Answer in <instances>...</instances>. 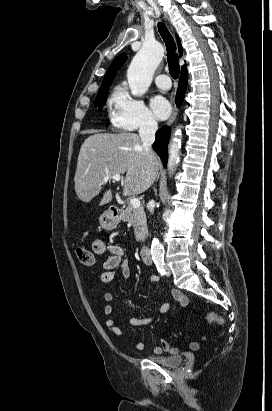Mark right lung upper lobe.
Instances as JSON below:
<instances>
[{"instance_id": "cb5924a9", "label": "right lung upper lobe", "mask_w": 272, "mask_h": 411, "mask_svg": "<svg viewBox=\"0 0 272 411\" xmlns=\"http://www.w3.org/2000/svg\"><path fill=\"white\" fill-rule=\"evenodd\" d=\"M176 40L179 46V56H182V48L180 47V40L178 38V36H176ZM127 59V56L125 53L119 55L117 58H115V60L112 62V64L110 65V67L108 68L106 75L103 79V83L101 85L100 89L105 88L108 85H111L112 80L114 79L115 75L117 74V71L121 68V66L125 63V60ZM186 68V65H183L181 68V71H183Z\"/></svg>"}]
</instances>
